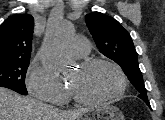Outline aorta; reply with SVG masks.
<instances>
[{
	"mask_svg": "<svg viewBox=\"0 0 165 120\" xmlns=\"http://www.w3.org/2000/svg\"><path fill=\"white\" fill-rule=\"evenodd\" d=\"M72 33V24L63 18H50L46 36L40 49V56L54 75H60L67 67L62 57V48L66 39Z\"/></svg>",
	"mask_w": 165,
	"mask_h": 120,
	"instance_id": "1",
	"label": "aorta"
}]
</instances>
